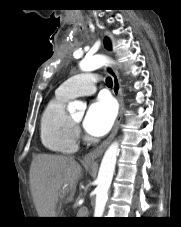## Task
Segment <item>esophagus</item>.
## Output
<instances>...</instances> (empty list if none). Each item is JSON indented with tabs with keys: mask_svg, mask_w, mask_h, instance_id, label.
<instances>
[{
	"mask_svg": "<svg viewBox=\"0 0 181 227\" xmlns=\"http://www.w3.org/2000/svg\"><path fill=\"white\" fill-rule=\"evenodd\" d=\"M105 70L113 80V94L119 102V113L116 118L114 127L111 131V134L108 136V138L105 141H103L97 148H95L94 150L90 151L88 154L85 155L84 161L86 163L94 162L95 160H97L102 156L107 146L110 144V142L112 141V139L114 138V136L118 131V127H119L123 110H124L123 92H122L119 76L117 75L116 71L112 67H106Z\"/></svg>",
	"mask_w": 181,
	"mask_h": 227,
	"instance_id": "obj_1",
	"label": "esophagus"
}]
</instances>
